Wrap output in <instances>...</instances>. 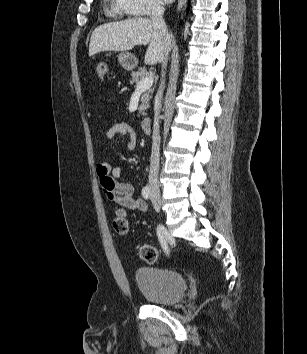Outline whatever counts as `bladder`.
I'll return each mask as SVG.
<instances>
[{
  "mask_svg": "<svg viewBox=\"0 0 307 354\" xmlns=\"http://www.w3.org/2000/svg\"><path fill=\"white\" fill-rule=\"evenodd\" d=\"M135 281L149 302L163 305L180 301L187 288L186 279L181 273L157 266L137 268Z\"/></svg>",
  "mask_w": 307,
  "mask_h": 354,
  "instance_id": "1",
  "label": "bladder"
}]
</instances>
